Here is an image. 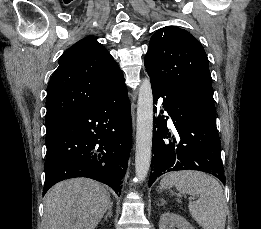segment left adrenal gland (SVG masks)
<instances>
[{
	"label": "left adrenal gland",
	"mask_w": 261,
	"mask_h": 229,
	"mask_svg": "<svg viewBox=\"0 0 261 229\" xmlns=\"http://www.w3.org/2000/svg\"><path fill=\"white\" fill-rule=\"evenodd\" d=\"M160 201H161L160 207H163V205H166V201H164V199H160Z\"/></svg>",
	"instance_id": "left-adrenal-gland-1"
}]
</instances>
